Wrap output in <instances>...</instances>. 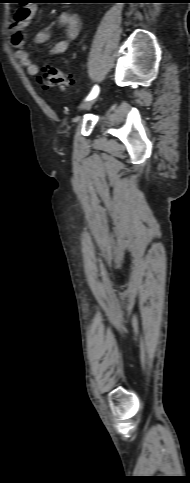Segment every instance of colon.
Here are the masks:
<instances>
[{"label":"colon","mask_w":190,"mask_h":483,"mask_svg":"<svg viewBox=\"0 0 190 483\" xmlns=\"http://www.w3.org/2000/svg\"><path fill=\"white\" fill-rule=\"evenodd\" d=\"M31 3L36 2L32 0ZM40 81L46 87H56L61 90L66 89L72 83V79L66 73L54 66H46L43 69Z\"/></svg>","instance_id":"5ec220e1"}]
</instances>
